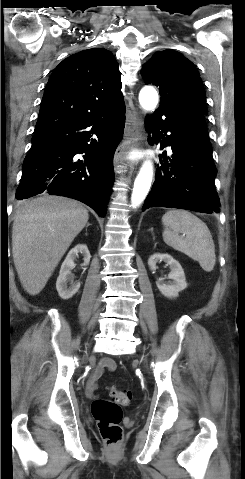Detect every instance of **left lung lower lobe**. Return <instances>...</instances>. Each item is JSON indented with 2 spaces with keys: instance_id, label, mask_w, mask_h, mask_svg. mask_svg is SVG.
<instances>
[{
  "instance_id": "1",
  "label": "left lung lower lobe",
  "mask_w": 245,
  "mask_h": 479,
  "mask_svg": "<svg viewBox=\"0 0 245 479\" xmlns=\"http://www.w3.org/2000/svg\"><path fill=\"white\" fill-rule=\"evenodd\" d=\"M145 128L152 132L160 149L171 146L173 154L160 155L155 181L142 210L167 207L203 213L219 211L214 187L216 167L204 114L195 110H171L160 106L146 118ZM149 142L152 139L149 138Z\"/></svg>"
}]
</instances>
